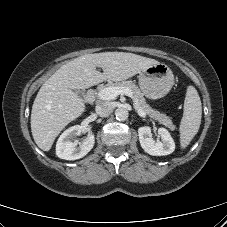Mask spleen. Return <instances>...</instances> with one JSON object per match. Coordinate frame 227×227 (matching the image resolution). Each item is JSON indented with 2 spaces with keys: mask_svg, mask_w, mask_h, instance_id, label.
Returning a JSON list of instances; mask_svg holds the SVG:
<instances>
[{
  "mask_svg": "<svg viewBox=\"0 0 227 227\" xmlns=\"http://www.w3.org/2000/svg\"><path fill=\"white\" fill-rule=\"evenodd\" d=\"M202 106L194 86H188L184 101V113L180 123V145L186 148L197 134L201 124Z\"/></svg>",
  "mask_w": 227,
  "mask_h": 227,
  "instance_id": "1",
  "label": "spleen"
}]
</instances>
